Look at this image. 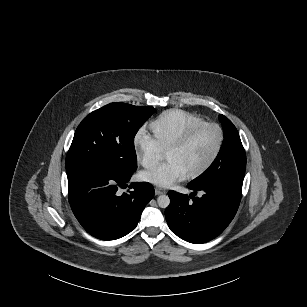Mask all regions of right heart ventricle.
Returning a JSON list of instances; mask_svg holds the SVG:
<instances>
[{"label": "right heart ventricle", "instance_id": "e07e8e85", "mask_svg": "<svg viewBox=\"0 0 307 307\" xmlns=\"http://www.w3.org/2000/svg\"><path fill=\"white\" fill-rule=\"evenodd\" d=\"M203 123L202 119L184 110L171 109L164 111L151 124L153 133L151 138L162 151L172 142L182 138L185 134Z\"/></svg>", "mask_w": 307, "mask_h": 307}]
</instances>
